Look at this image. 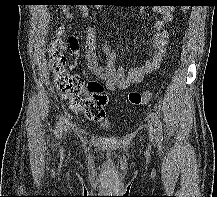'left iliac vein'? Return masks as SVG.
I'll return each mask as SVG.
<instances>
[{
  "label": "left iliac vein",
  "instance_id": "left-iliac-vein-1",
  "mask_svg": "<svg viewBox=\"0 0 217 197\" xmlns=\"http://www.w3.org/2000/svg\"><path fill=\"white\" fill-rule=\"evenodd\" d=\"M149 138L152 141L154 138V133H153V127L152 125H149Z\"/></svg>",
  "mask_w": 217,
  "mask_h": 197
}]
</instances>
